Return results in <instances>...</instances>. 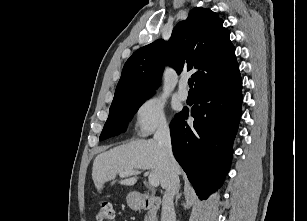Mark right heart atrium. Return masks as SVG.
<instances>
[{"label": "right heart atrium", "instance_id": "1", "mask_svg": "<svg viewBox=\"0 0 307 221\" xmlns=\"http://www.w3.org/2000/svg\"><path fill=\"white\" fill-rule=\"evenodd\" d=\"M135 127L140 136H148L167 127L164 103L158 96L145 100L136 110Z\"/></svg>", "mask_w": 307, "mask_h": 221}]
</instances>
